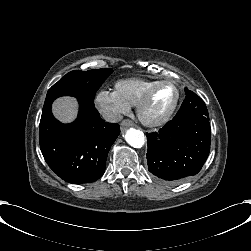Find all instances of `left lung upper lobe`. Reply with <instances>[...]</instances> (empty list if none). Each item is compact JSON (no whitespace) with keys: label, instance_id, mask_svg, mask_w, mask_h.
<instances>
[{"label":"left lung upper lobe","instance_id":"obj_1","mask_svg":"<svg viewBox=\"0 0 251 251\" xmlns=\"http://www.w3.org/2000/svg\"><path fill=\"white\" fill-rule=\"evenodd\" d=\"M185 94L186 97L174 118L186 115H201L209 117L206 105L199 96L187 88H185Z\"/></svg>","mask_w":251,"mask_h":251}]
</instances>
